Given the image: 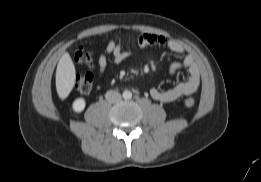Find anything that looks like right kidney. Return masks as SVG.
Returning a JSON list of instances; mask_svg holds the SVG:
<instances>
[{
    "instance_id": "obj_1",
    "label": "right kidney",
    "mask_w": 261,
    "mask_h": 182,
    "mask_svg": "<svg viewBox=\"0 0 261 182\" xmlns=\"http://www.w3.org/2000/svg\"><path fill=\"white\" fill-rule=\"evenodd\" d=\"M86 105L85 99L84 98H77L73 104L72 108L75 112L80 113L84 110Z\"/></svg>"
}]
</instances>
